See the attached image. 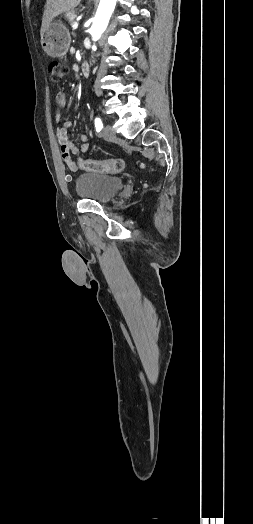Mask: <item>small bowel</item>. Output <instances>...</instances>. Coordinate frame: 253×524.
Wrapping results in <instances>:
<instances>
[{"label": "small bowel", "mask_w": 253, "mask_h": 524, "mask_svg": "<svg viewBox=\"0 0 253 524\" xmlns=\"http://www.w3.org/2000/svg\"><path fill=\"white\" fill-rule=\"evenodd\" d=\"M56 102L59 106L56 112L55 119L57 122L61 120L62 113L61 109L66 106L67 98L64 92H58L56 94ZM71 126L70 121H65L61 127L56 131L58 143L60 145L61 156L67 166L72 170L76 171L78 166L72 159V155L79 153V151L86 153L89 150L88 135L86 133L80 134V146L78 147L68 138V128Z\"/></svg>", "instance_id": "1"}]
</instances>
